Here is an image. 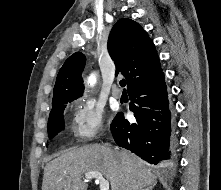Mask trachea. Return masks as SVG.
Instances as JSON below:
<instances>
[{"label":"trachea","instance_id":"1","mask_svg":"<svg viewBox=\"0 0 221 190\" xmlns=\"http://www.w3.org/2000/svg\"><path fill=\"white\" fill-rule=\"evenodd\" d=\"M120 85H121V87H125L126 81H125V80H121V81H120Z\"/></svg>","mask_w":221,"mask_h":190}]
</instances>
